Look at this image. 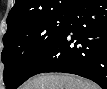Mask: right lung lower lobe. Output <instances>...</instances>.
<instances>
[{
    "label": "right lung lower lobe",
    "mask_w": 107,
    "mask_h": 89,
    "mask_svg": "<svg viewBox=\"0 0 107 89\" xmlns=\"http://www.w3.org/2000/svg\"><path fill=\"white\" fill-rule=\"evenodd\" d=\"M107 2L79 1L58 41L41 61L35 74L63 72L107 85ZM34 74V75H35Z\"/></svg>",
    "instance_id": "obj_1"
}]
</instances>
